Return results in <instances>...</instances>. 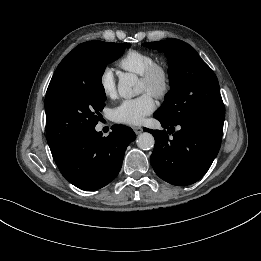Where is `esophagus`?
<instances>
[{
  "mask_svg": "<svg viewBox=\"0 0 261 261\" xmlns=\"http://www.w3.org/2000/svg\"><path fill=\"white\" fill-rule=\"evenodd\" d=\"M133 130H134V132H135L136 134H140V133L143 132V128H142V127H138V126L133 127Z\"/></svg>",
  "mask_w": 261,
  "mask_h": 261,
  "instance_id": "esophagus-1",
  "label": "esophagus"
}]
</instances>
